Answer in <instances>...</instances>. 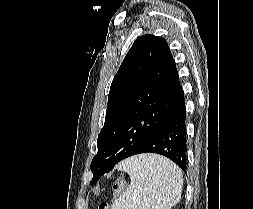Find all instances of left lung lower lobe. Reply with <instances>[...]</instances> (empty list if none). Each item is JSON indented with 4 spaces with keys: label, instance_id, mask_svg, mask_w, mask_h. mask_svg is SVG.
Returning <instances> with one entry per match:
<instances>
[{
    "label": "left lung lower lobe",
    "instance_id": "1",
    "mask_svg": "<svg viewBox=\"0 0 253 209\" xmlns=\"http://www.w3.org/2000/svg\"><path fill=\"white\" fill-rule=\"evenodd\" d=\"M186 110L181 88L176 104L163 124L135 153H158L174 161L186 173ZM134 154V155H135ZM96 182H90L95 184Z\"/></svg>",
    "mask_w": 253,
    "mask_h": 209
}]
</instances>
